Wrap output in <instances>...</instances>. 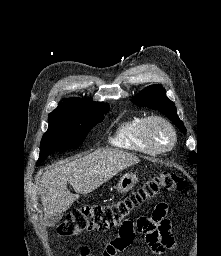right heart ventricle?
<instances>
[{
    "label": "right heart ventricle",
    "mask_w": 221,
    "mask_h": 256,
    "mask_svg": "<svg viewBox=\"0 0 221 256\" xmlns=\"http://www.w3.org/2000/svg\"><path fill=\"white\" fill-rule=\"evenodd\" d=\"M144 121L143 116H133L119 123L110 138L111 144L148 155L156 154V151L144 139Z\"/></svg>",
    "instance_id": "1"
}]
</instances>
